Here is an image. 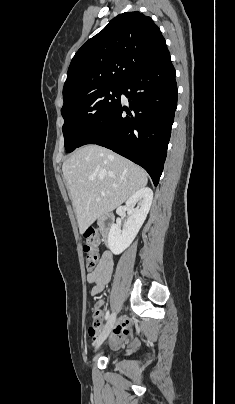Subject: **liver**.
Returning <instances> with one entry per match:
<instances>
[{
    "label": "liver",
    "mask_w": 235,
    "mask_h": 404,
    "mask_svg": "<svg viewBox=\"0 0 235 404\" xmlns=\"http://www.w3.org/2000/svg\"><path fill=\"white\" fill-rule=\"evenodd\" d=\"M62 171L81 233L148 182L144 169L93 144L76 150L64 161Z\"/></svg>",
    "instance_id": "obj_1"
}]
</instances>
